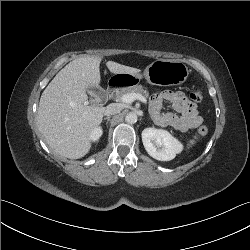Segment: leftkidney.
<instances>
[{
	"label": "left kidney",
	"mask_w": 250,
	"mask_h": 250,
	"mask_svg": "<svg viewBox=\"0 0 250 250\" xmlns=\"http://www.w3.org/2000/svg\"><path fill=\"white\" fill-rule=\"evenodd\" d=\"M142 142L147 153L159 161H170L183 150V145L163 129H144Z\"/></svg>",
	"instance_id": "1"
}]
</instances>
